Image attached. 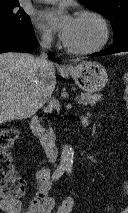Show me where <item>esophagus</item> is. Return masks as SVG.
Listing matches in <instances>:
<instances>
[{
    "instance_id": "34e87169",
    "label": "esophagus",
    "mask_w": 128,
    "mask_h": 213,
    "mask_svg": "<svg viewBox=\"0 0 128 213\" xmlns=\"http://www.w3.org/2000/svg\"><path fill=\"white\" fill-rule=\"evenodd\" d=\"M62 67H63V68H69L70 66H69L68 64L63 63V64H62Z\"/></svg>"
}]
</instances>
